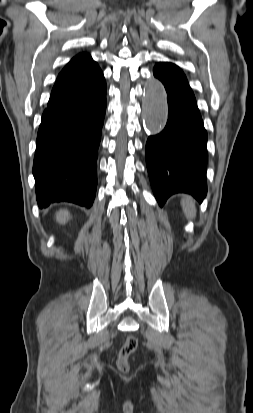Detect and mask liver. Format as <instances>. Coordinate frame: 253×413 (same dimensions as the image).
<instances>
[{"mask_svg": "<svg viewBox=\"0 0 253 413\" xmlns=\"http://www.w3.org/2000/svg\"><path fill=\"white\" fill-rule=\"evenodd\" d=\"M70 218V214L67 210H60L57 215L56 219L59 223L65 224Z\"/></svg>", "mask_w": 253, "mask_h": 413, "instance_id": "obj_1", "label": "liver"}]
</instances>
